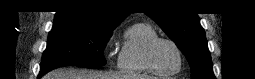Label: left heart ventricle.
Segmentation results:
<instances>
[{"mask_svg": "<svg viewBox=\"0 0 255 79\" xmlns=\"http://www.w3.org/2000/svg\"><path fill=\"white\" fill-rule=\"evenodd\" d=\"M154 63L164 71H173L179 65V56L174 47L168 43H159L153 51Z\"/></svg>", "mask_w": 255, "mask_h": 79, "instance_id": "obj_1", "label": "left heart ventricle"}]
</instances>
